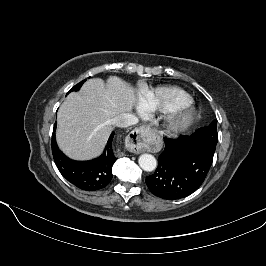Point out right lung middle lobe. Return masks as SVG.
<instances>
[{
  "label": "right lung middle lobe",
  "mask_w": 266,
  "mask_h": 266,
  "mask_svg": "<svg viewBox=\"0 0 266 266\" xmlns=\"http://www.w3.org/2000/svg\"><path fill=\"white\" fill-rule=\"evenodd\" d=\"M85 80L81 81L80 83H78L77 85H75L73 88L70 89L69 92L71 91H78L80 89V87L82 86V84L84 83ZM68 92V93H69Z\"/></svg>",
  "instance_id": "1"
}]
</instances>
